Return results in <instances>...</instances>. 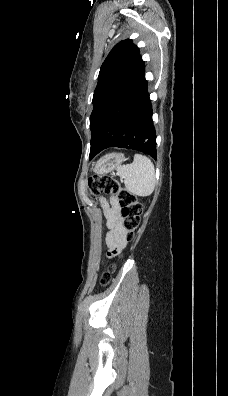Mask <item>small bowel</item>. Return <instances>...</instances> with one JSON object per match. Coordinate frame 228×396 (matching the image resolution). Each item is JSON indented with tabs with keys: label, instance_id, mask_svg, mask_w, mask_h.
Returning a JSON list of instances; mask_svg holds the SVG:
<instances>
[{
	"label": "small bowel",
	"instance_id": "c3829d8e",
	"mask_svg": "<svg viewBox=\"0 0 228 396\" xmlns=\"http://www.w3.org/2000/svg\"><path fill=\"white\" fill-rule=\"evenodd\" d=\"M104 212L109 229L106 244L110 249L120 250L125 244L126 232L121 225L119 206L115 199L111 200L110 206L104 202Z\"/></svg>",
	"mask_w": 228,
	"mask_h": 396
}]
</instances>
